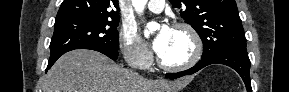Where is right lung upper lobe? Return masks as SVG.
<instances>
[{
  "mask_svg": "<svg viewBox=\"0 0 289 92\" xmlns=\"http://www.w3.org/2000/svg\"><path fill=\"white\" fill-rule=\"evenodd\" d=\"M118 13V0H64L56 20L76 17L116 19Z\"/></svg>",
  "mask_w": 289,
  "mask_h": 92,
  "instance_id": "1",
  "label": "right lung upper lobe"
}]
</instances>
